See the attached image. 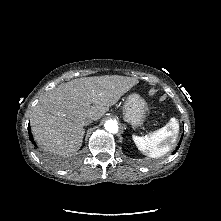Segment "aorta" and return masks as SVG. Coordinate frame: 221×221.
Instances as JSON below:
<instances>
[{
    "label": "aorta",
    "instance_id": "aorta-1",
    "mask_svg": "<svg viewBox=\"0 0 221 221\" xmlns=\"http://www.w3.org/2000/svg\"><path fill=\"white\" fill-rule=\"evenodd\" d=\"M105 129L110 133L118 132V124L114 120H107L104 124Z\"/></svg>",
    "mask_w": 221,
    "mask_h": 221
}]
</instances>
